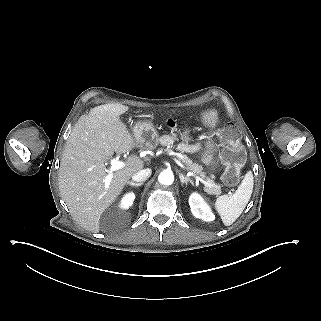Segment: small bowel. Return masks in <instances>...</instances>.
I'll use <instances>...</instances> for the list:
<instances>
[{
    "label": "small bowel",
    "mask_w": 321,
    "mask_h": 321,
    "mask_svg": "<svg viewBox=\"0 0 321 321\" xmlns=\"http://www.w3.org/2000/svg\"><path fill=\"white\" fill-rule=\"evenodd\" d=\"M200 148L198 144H192L187 146V150L190 152H195ZM211 159V155H209L206 160L209 161Z\"/></svg>",
    "instance_id": "c3829d8e"
}]
</instances>
